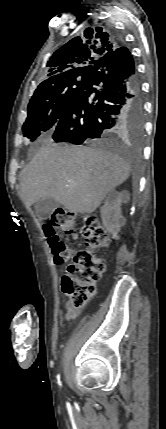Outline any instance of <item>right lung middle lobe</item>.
<instances>
[{
    "label": "right lung middle lobe",
    "instance_id": "dd1d6c3e",
    "mask_svg": "<svg viewBox=\"0 0 166 429\" xmlns=\"http://www.w3.org/2000/svg\"><path fill=\"white\" fill-rule=\"evenodd\" d=\"M88 80L87 74L76 75L57 82L46 91L34 94L28 105L23 134L34 141L46 131H53L75 92ZM131 138L139 141L142 129L131 132Z\"/></svg>",
    "mask_w": 166,
    "mask_h": 429
}]
</instances>
